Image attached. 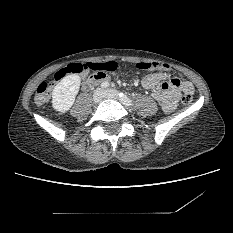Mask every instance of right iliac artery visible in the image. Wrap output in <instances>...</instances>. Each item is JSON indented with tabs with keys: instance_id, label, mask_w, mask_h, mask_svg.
Wrapping results in <instances>:
<instances>
[{
	"instance_id": "right-iliac-artery-1",
	"label": "right iliac artery",
	"mask_w": 233,
	"mask_h": 233,
	"mask_svg": "<svg viewBox=\"0 0 233 233\" xmlns=\"http://www.w3.org/2000/svg\"><path fill=\"white\" fill-rule=\"evenodd\" d=\"M101 87L103 89H107L109 87V83L108 82H104V83L101 84Z\"/></svg>"
}]
</instances>
